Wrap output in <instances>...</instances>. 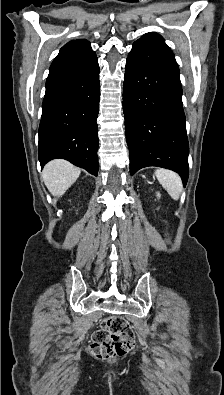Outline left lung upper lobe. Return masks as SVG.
I'll use <instances>...</instances> for the list:
<instances>
[{
    "mask_svg": "<svg viewBox=\"0 0 224 395\" xmlns=\"http://www.w3.org/2000/svg\"><path fill=\"white\" fill-rule=\"evenodd\" d=\"M137 41H142V42H147V43L159 45V46H162V47L171 51V49L166 45L162 36H160L159 34L154 33V32L148 33L147 35L141 37Z\"/></svg>",
    "mask_w": 224,
    "mask_h": 395,
    "instance_id": "1",
    "label": "left lung upper lobe"
}]
</instances>
